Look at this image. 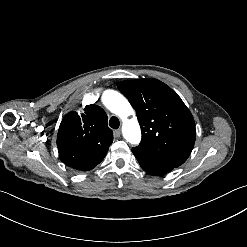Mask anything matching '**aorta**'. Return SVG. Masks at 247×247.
I'll return each instance as SVG.
<instances>
[{
	"instance_id": "1",
	"label": "aorta",
	"mask_w": 247,
	"mask_h": 247,
	"mask_svg": "<svg viewBox=\"0 0 247 247\" xmlns=\"http://www.w3.org/2000/svg\"><path fill=\"white\" fill-rule=\"evenodd\" d=\"M102 102L112 113L121 118L123 137L131 144H139L141 141L140 126L128 100L117 91L106 90L102 95ZM129 116L132 118L129 119Z\"/></svg>"
}]
</instances>
